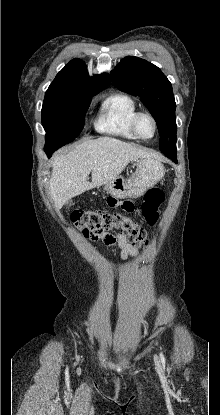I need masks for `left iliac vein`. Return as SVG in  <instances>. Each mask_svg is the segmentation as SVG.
<instances>
[{
    "instance_id": "4c4485c4",
    "label": "left iliac vein",
    "mask_w": 220,
    "mask_h": 415,
    "mask_svg": "<svg viewBox=\"0 0 220 415\" xmlns=\"http://www.w3.org/2000/svg\"><path fill=\"white\" fill-rule=\"evenodd\" d=\"M154 361L156 365H160V359L157 356L154 357Z\"/></svg>"
}]
</instances>
